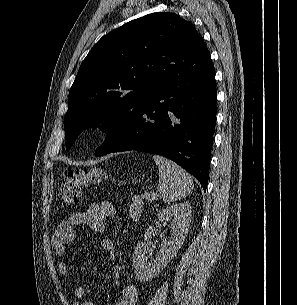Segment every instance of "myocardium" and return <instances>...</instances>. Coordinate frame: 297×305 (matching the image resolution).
<instances>
[{
	"instance_id": "myocardium-1",
	"label": "myocardium",
	"mask_w": 297,
	"mask_h": 305,
	"mask_svg": "<svg viewBox=\"0 0 297 305\" xmlns=\"http://www.w3.org/2000/svg\"><path fill=\"white\" fill-rule=\"evenodd\" d=\"M104 133H105V130H103V129H99L97 131V134H99V135H103Z\"/></svg>"
}]
</instances>
